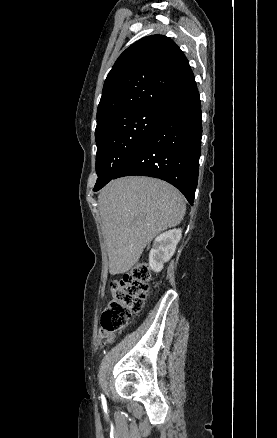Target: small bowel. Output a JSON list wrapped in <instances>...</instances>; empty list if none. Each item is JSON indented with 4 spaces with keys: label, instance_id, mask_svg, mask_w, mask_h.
Masks as SVG:
<instances>
[{
    "label": "small bowel",
    "instance_id": "c3829d8e",
    "mask_svg": "<svg viewBox=\"0 0 277 438\" xmlns=\"http://www.w3.org/2000/svg\"><path fill=\"white\" fill-rule=\"evenodd\" d=\"M98 339L105 340L107 343H112L115 339V335L113 333L101 331L99 332Z\"/></svg>",
    "mask_w": 277,
    "mask_h": 438
}]
</instances>
